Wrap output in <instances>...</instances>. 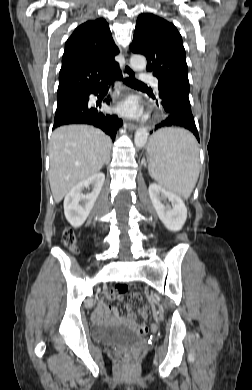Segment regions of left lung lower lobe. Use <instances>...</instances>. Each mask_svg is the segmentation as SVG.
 <instances>
[{"instance_id": "0a47b994", "label": "left lung lower lobe", "mask_w": 252, "mask_h": 390, "mask_svg": "<svg viewBox=\"0 0 252 390\" xmlns=\"http://www.w3.org/2000/svg\"><path fill=\"white\" fill-rule=\"evenodd\" d=\"M159 97L156 99L163 105L168 117L159 123L155 130L161 127L179 126L184 127L196 136L199 141L198 131L191 111L189 92L176 87L161 84L158 85Z\"/></svg>"}]
</instances>
